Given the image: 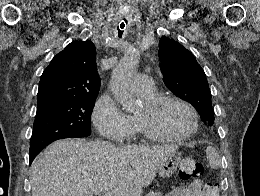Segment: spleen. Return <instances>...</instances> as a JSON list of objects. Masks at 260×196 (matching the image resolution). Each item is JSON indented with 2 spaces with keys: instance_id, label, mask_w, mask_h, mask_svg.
I'll return each mask as SVG.
<instances>
[{
  "instance_id": "spleen-1",
  "label": "spleen",
  "mask_w": 260,
  "mask_h": 196,
  "mask_svg": "<svg viewBox=\"0 0 260 196\" xmlns=\"http://www.w3.org/2000/svg\"><path fill=\"white\" fill-rule=\"evenodd\" d=\"M206 156L210 168H212V170H219L221 166V160L218 152H216L213 146H208V148H206Z\"/></svg>"
}]
</instances>
